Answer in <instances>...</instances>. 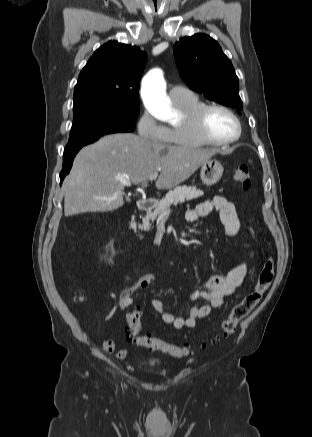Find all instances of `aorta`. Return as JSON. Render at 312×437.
I'll return each mask as SVG.
<instances>
[{"label":"aorta","instance_id":"762f6f07","mask_svg":"<svg viewBox=\"0 0 312 437\" xmlns=\"http://www.w3.org/2000/svg\"><path fill=\"white\" fill-rule=\"evenodd\" d=\"M141 96L148 111L158 120L169 121L173 117L171 103L166 95L162 71L151 70L142 81Z\"/></svg>","mask_w":312,"mask_h":437}]
</instances>
